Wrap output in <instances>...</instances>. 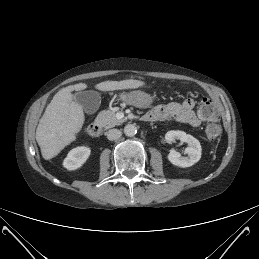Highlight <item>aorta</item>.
Here are the masks:
<instances>
[{
    "mask_svg": "<svg viewBox=\"0 0 259 259\" xmlns=\"http://www.w3.org/2000/svg\"><path fill=\"white\" fill-rule=\"evenodd\" d=\"M137 133V127L134 124H127L124 127V134L128 137H133Z\"/></svg>",
    "mask_w": 259,
    "mask_h": 259,
    "instance_id": "aorta-1",
    "label": "aorta"
}]
</instances>
